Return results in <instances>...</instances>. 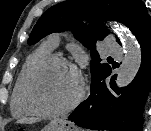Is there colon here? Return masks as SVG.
Listing matches in <instances>:
<instances>
[{
  "mask_svg": "<svg viewBox=\"0 0 151 131\" xmlns=\"http://www.w3.org/2000/svg\"><path fill=\"white\" fill-rule=\"evenodd\" d=\"M18 131H26V130H24V129H19Z\"/></svg>",
  "mask_w": 151,
  "mask_h": 131,
  "instance_id": "5ec220e1",
  "label": "colon"
}]
</instances>
